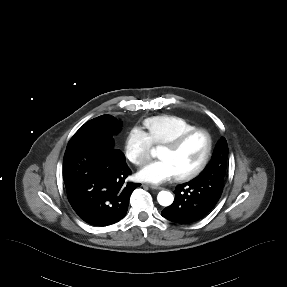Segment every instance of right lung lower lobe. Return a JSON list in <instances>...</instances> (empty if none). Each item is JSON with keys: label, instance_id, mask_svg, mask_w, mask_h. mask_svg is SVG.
<instances>
[{"label": "right lung lower lobe", "instance_id": "1", "mask_svg": "<svg viewBox=\"0 0 287 287\" xmlns=\"http://www.w3.org/2000/svg\"><path fill=\"white\" fill-rule=\"evenodd\" d=\"M131 174L124 154L103 144L69 146L63 160L68 201L76 214L93 226H107L122 219L130 196L139 183L127 182Z\"/></svg>", "mask_w": 287, "mask_h": 287}]
</instances>
